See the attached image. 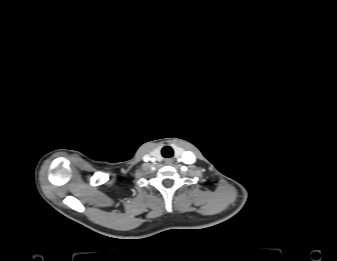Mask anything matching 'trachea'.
<instances>
[{"label":"trachea","mask_w":337,"mask_h":261,"mask_svg":"<svg viewBox=\"0 0 337 261\" xmlns=\"http://www.w3.org/2000/svg\"><path fill=\"white\" fill-rule=\"evenodd\" d=\"M161 153H162V156L165 157V158H170L174 154L173 149L170 146H165L161 150Z\"/></svg>","instance_id":"1"}]
</instances>
